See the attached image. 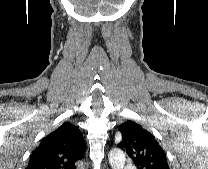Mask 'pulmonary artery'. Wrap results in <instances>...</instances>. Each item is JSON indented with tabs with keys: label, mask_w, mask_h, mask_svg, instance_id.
Returning <instances> with one entry per match:
<instances>
[{
	"label": "pulmonary artery",
	"mask_w": 208,
	"mask_h": 169,
	"mask_svg": "<svg viewBox=\"0 0 208 169\" xmlns=\"http://www.w3.org/2000/svg\"><path fill=\"white\" fill-rule=\"evenodd\" d=\"M121 168H123V167H121ZM126 169H136V167H131V166H129V167H125Z\"/></svg>",
	"instance_id": "e3ab8cb5"
}]
</instances>
